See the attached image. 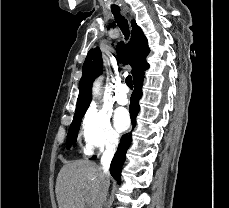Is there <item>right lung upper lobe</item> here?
<instances>
[{"label": "right lung upper lobe", "instance_id": "right-lung-upper-lobe-1", "mask_svg": "<svg viewBox=\"0 0 229 208\" xmlns=\"http://www.w3.org/2000/svg\"><path fill=\"white\" fill-rule=\"evenodd\" d=\"M131 40L127 47L120 42L117 47L118 61L129 64L132 67L133 79L143 75L149 67L146 56L149 54L148 43L140 27L135 20L131 21ZM121 56V57H120ZM102 73V56L99 48L91 49L85 59L82 77L79 83V97L77 100L76 111L73 118L81 120L91 102V86L94 79Z\"/></svg>", "mask_w": 229, "mask_h": 208}]
</instances>
